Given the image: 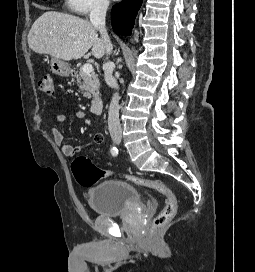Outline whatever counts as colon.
I'll return each instance as SVG.
<instances>
[{"label": "colon", "instance_id": "1", "mask_svg": "<svg viewBox=\"0 0 255 272\" xmlns=\"http://www.w3.org/2000/svg\"><path fill=\"white\" fill-rule=\"evenodd\" d=\"M39 87L44 94L53 96L55 91L54 76L52 74L43 76ZM71 169L76 181L84 187H90L100 179L113 175L111 171L101 169L94 165L92 161L85 156L77 157L72 162ZM119 176L139 186L154 189L165 197V204L153 222L154 229L162 228L173 220L177 213L178 203L176 194L171 187L160 181L129 174H121Z\"/></svg>", "mask_w": 255, "mask_h": 272}]
</instances>
